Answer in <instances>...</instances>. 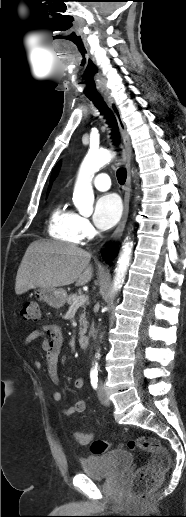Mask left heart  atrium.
<instances>
[{"label":"left heart atrium","mask_w":186,"mask_h":517,"mask_svg":"<svg viewBox=\"0 0 186 517\" xmlns=\"http://www.w3.org/2000/svg\"><path fill=\"white\" fill-rule=\"evenodd\" d=\"M121 213L120 198L115 194H106L97 200L93 220L99 229L107 230L117 223Z\"/></svg>","instance_id":"left-heart-atrium-1"}]
</instances>
